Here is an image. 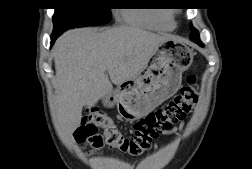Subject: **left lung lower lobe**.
I'll use <instances>...</instances> for the list:
<instances>
[{
  "label": "left lung lower lobe",
  "instance_id": "left-lung-lower-lobe-1",
  "mask_svg": "<svg viewBox=\"0 0 252 169\" xmlns=\"http://www.w3.org/2000/svg\"><path fill=\"white\" fill-rule=\"evenodd\" d=\"M191 40H193L195 43H197L199 46L204 47L203 43L199 39V34L196 36L191 37Z\"/></svg>",
  "mask_w": 252,
  "mask_h": 169
}]
</instances>
